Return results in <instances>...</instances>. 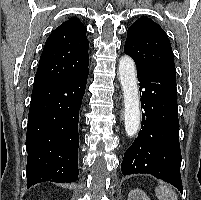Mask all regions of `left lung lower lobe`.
Instances as JSON below:
<instances>
[{
    "label": "left lung lower lobe",
    "mask_w": 201,
    "mask_h": 200,
    "mask_svg": "<svg viewBox=\"0 0 201 200\" xmlns=\"http://www.w3.org/2000/svg\"><path fill=\"white\" fill-rule=\"evenodd\" d=\"M137 77L142 124L138 137L124 154L122 173H148L182 193L176 71L137 70Z\"/></svg>",
    "instance_id": "obj_1"
}]
</instances>
